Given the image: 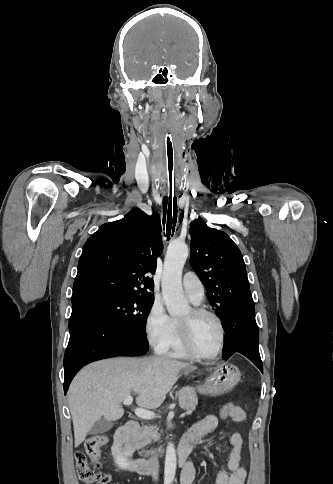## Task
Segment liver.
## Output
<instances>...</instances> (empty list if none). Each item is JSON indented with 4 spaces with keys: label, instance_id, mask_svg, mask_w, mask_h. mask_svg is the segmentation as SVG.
Instances as JSON below:
<instances>
[{
    "label": "liver",
    "instance_id": "obj_1",
    "mask_svg": "<svg viewBox=\"0 0 333 484\" xmlns=\"http://www.w3.org/2000/svg\"><path fill=\"white\" fill-rule=\"evenodd\" d=\"M197 369L189 363L160 358H112L83 368L68 390L75 447L86 438L94 423L104 417L118 420L121 403L134 392L142 409H156L179 378Z\"/></svg>",
    "mask_w": 333,
    "mask_h": 484
}]
</instances>
